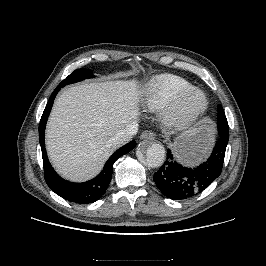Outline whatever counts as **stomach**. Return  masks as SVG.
I'll return each mask as SVG.
<instances>
[{
	"instance_id": "1",
	"label": "stomach",
	"mask_w": 266,
	"mask_h": 266,
	"mask_svg": "<svg viewBox=\"0 0 266 266\" xmlns=\"http://www.w3.org/2000/svg\"><path fill=\"white\" fill-rule=\"evenodd\" d=\"M214 140L213 126L207 119L178 136L172 144L176 157L187 165L203 161Z\"/></svg>"
}]
</instances>
